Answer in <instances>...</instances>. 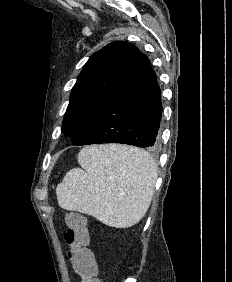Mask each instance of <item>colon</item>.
Segmentation results:
<instances>
[{
	"instance_id": "5ec220e1",
	"label": "colon",
	"mask_w": 232,
	"mask_h": 282,
	"mask_svg": "<svg viewBox=\"0 0 232 282\" xmlns=\"http://www.w3.org/2000/svg\"><path fill=\"white\" fill-rule=\"evenodd\" d=\"M65 222L68 258L75 272L81 277V282H101L97 278V264L89 248L90 236L86 217L70 212L66 215Z\"/></svg>"
}]
</instances>
